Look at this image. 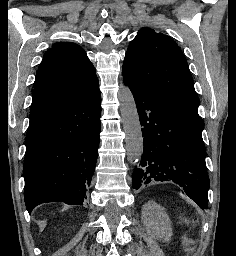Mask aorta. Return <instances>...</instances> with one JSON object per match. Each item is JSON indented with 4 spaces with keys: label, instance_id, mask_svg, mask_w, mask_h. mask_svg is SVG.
I'll use <instances>...</instances> for the list:
<instances>
[{
    "label": "aorta",
    "instance_id": "1",
    "mask_svg": "<svg viewBox=\"0 0 236 256\" xmlns=\"http://www.w3.org/2000/svg\"><path fill=\"white\" fill-rule=\"evenodd\" d=\"M118 99L126 135L127 159L132 164H138L143 155V136L135 100L128 87L120 88Z\"/></svg>",
    "mask_w": 236,
    "mask_h": 256
}]
</instances>
